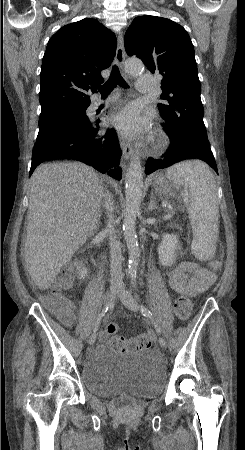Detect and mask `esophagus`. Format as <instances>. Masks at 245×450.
<instances>
[{
    "mask_svg": "<svg viewBox=\"0 0 245 450\" xmlns=\"http://www.w3.org/2000/svg\"><path fill=\"white\" fill-rule=\"evenodd\" d=\"M125 56H126V53H125V49H124L122 34H119L115 61H116V64L121 68L124 63ZM120 146L122 149L123 158L126 161H128L132 156V146L123 139L120 140Z\"/></svg>",
    "mask_w": 245,
    "mask_h": 450,
    "instance_id": "1",
    "label": "esophagus"
}]
</instances>
